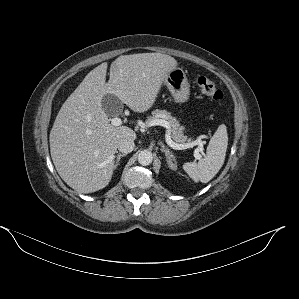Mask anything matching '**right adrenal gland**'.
Returning <instances> with one entry per match:
<instances>
[{
    "instance_id": "obj_1",
    "label": "right adrenal gland",
    "mask_w": 299,
    "mask_h": 299,
    "mask_svg": "<svg viewBox=\"0 0 299 299\" xmlns=\"http://www.w3.org/2000/svg\"><path fill=\"white\" fill-rule=\"evenodd\" d=\"M127 154H118L117 155V158H116V161H115V164H114V169H116L117 167H118V165H119V162H120V159L122 158V157H125Z\"/></svg>"
}]
</instances>
